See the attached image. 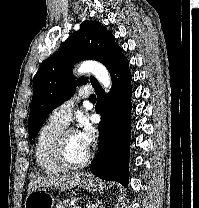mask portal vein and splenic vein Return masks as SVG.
I'll list each match as a JSON object with an SVG mask.
<instances>
[{"label":"portal vein and splenic vein","mask_w":199,"mask_h":208,"mask_svg":"<svg viewBox=\"0 0 199 208\" xmlns=\"http://www.w3.org/2000/svg\"><path fill=\"white\" fill-rule=\"evenodd\" d=\"M73 208H81L80 206H74Z\"/></svg>","instance_id":"portal-vein-and-splenic-vein-1"}]
</instances>
